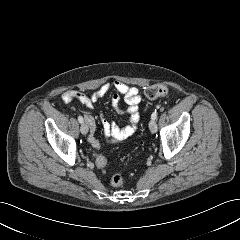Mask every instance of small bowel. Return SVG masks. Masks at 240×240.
<instances>
[{
	"instance_id": "1",
	"label": "small bowel",
	"mask_w": 240,
	"mask_h": 240,
	"mask_svg": "<svg viewBox=\"0 0 240 240\" xmlns=\"http://www.w3.org/2000/svg\"><path fill=\"white\" fill-rule=\"evenodd\" d=\"M112 90H114V93L111 95L113 108L117 113L127 115L129 121L126 125L119 126L114 122L108 121L101 115V124L106 141L108 143H118L132 136L137 129L140 120L139 105L142 100L137 87L115 80L112 83L103 84L91 95H86L77 90L67 91L63 94L62 101L69 103L76 100L92 109L98 100L111 93ZM121 96L127 105L126 109H122L120 106ZM84 118L89 130V143L95 148H101L102 143L94 135L96 130L95 119L90 114H85Z\"/></svg>"
}]
</instances>
